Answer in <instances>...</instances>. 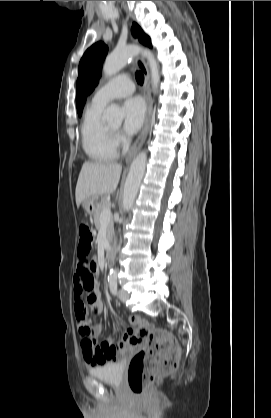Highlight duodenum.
I'll return each instance as SVG.
<instances>
[{"label": "duodenum", "instance_id": "1", "mask_svg": "<svg viewBox=\"0 0 271 418\" xmlns=\"http://www.w3.org/2000/svg\"><path fill=\"white\" fill-rule=\"evenodd\" d=\"M115 256V246L112 244L109 246L106 254V264L110 266L114 260Z\"/></svg>", "mask_w": 271, "mask_h": 418}]
</instances>
